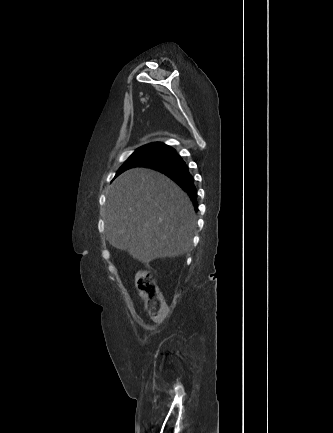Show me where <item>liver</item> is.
<instances>
[{
    "label": "liver",
    "mask_w": 333,
    "mask_h": 433,
    "mask_svg": "<svg viewBox=\"0 0 333 433\" xmlns=\"http://www.w3.org/2000/svg\"><path fill=\"white\" fill-rule=\"evenodd\" d=\"M194 217L191 200L172 180L157 171L132 168L118 176L107 193L106 238L148 264L187 252Z\"/></svg>",
    "instance_id": "liver-1"
}]
</instances>
